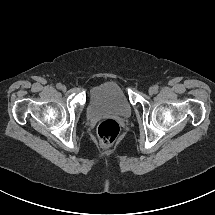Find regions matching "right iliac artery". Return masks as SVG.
<instances>
[{"label": "right iliac artery", "mask_w": 215, "mask_h": 215, "mask_svg": "<svg viewBox=\"0 0 215 215\" xmlns=\"http://www.w3.org/2000/svg\"><path fill=\"white\" fill-rule=\"evenodd\" d=\"M56 87H57L58 89H61L62 84H61V83H58V84L56 85Z\"/></svg>", "instance_id": "right-iliac-artery-1"}]
</instances>
